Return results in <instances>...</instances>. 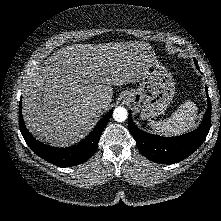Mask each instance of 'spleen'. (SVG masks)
<instances>
[{
    "label": "spleen",
    "mask_w": 221,
    "mask_h": 221,
    "mask_svg": "<svg viewBox=\"0 0 221 221\" xmlns=\"http://www.w3.org/2000/svg\"><path fill=\"white\" fill-rule=\"evenodd\" d=\"M197 118V106L192 101H185L171 117L154 121L150 120V127L164 136H177L191 130Z\"/></svg>",
    "instance_id": "3e777b00"
}]
</instances>
